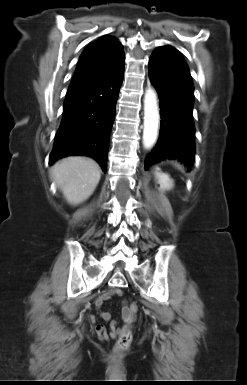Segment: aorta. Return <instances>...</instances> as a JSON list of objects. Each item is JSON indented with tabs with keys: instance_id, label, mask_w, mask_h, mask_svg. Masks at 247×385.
I'll use <instances>...</instances> for the list:
<instances>
[{
	"instance_id": "aorta-1",
	"label": "aorta",
	"mask_w": 247,
	"mask_h": 385,
	"mask_svg": "<svg viewBox=\"0 0 247 385\" xmlns=\"http://www.w3.org/2000/svg\"><path fill=\"white\" fill-rule=\"evenodd\" d=\"M159 119L157 95L153 89H147L144 96L143 130V145L146 149L151 148L157 140Z\"/></svg>"
}]
</instances>
